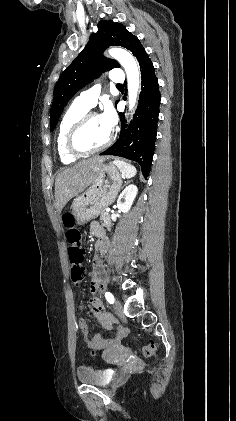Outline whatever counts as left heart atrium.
Listing matches in <instances>:
<instances>
[{"mask_svg":"<svg viewBox=\"0 0 236 421\" xmlns=\"http://www.w3.org/2000/svg\"><path fill=\"white\" fill-rule=\"evenodd\" d=\"M105 127L108 131H112L116 124V115L111 107H107L105 111L100 115Z\"/></svg>","mask_w":236,"mask_h":421,"instance_id":"39dd6f15","label":"left heart atrium"}]
</instances>
